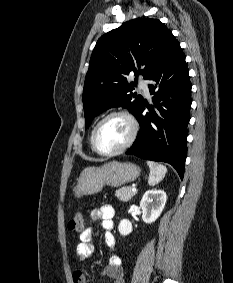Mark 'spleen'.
Returning a JSON list of instances; mask_svg holds the SVG:
<instances>
[{"mask_svg":"<svg viewBox=\"0 0 233 283\" xmlns=\"http://www.w3.org/2000/svg\"><path fill=\"white\" fill-rule=\"evenodd\" d=\"M147 165L150 169L148 184L154 186L163 180L167 173V168L164 165L153 161H147Z\"/></svg>","mask_w":233,"mask_h":283,"instance_id":"spleen-1","label":"spleen"}]
</instances>
